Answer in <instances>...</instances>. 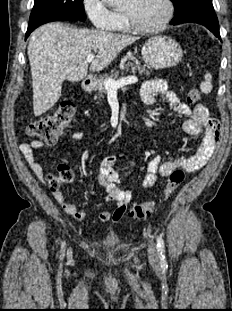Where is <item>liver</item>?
I'll list each match as a JSON object with an SVG mask.
<instances>
[{
	"instance_id": "obj_1",
	"label": "liver",
	"mask_w": 232,
	"mask_h": 311,
	"mask_svg": "<svg viewBox=\"0 0 232 311\" xmlns=\"http://www.w3.org/2000/svg\"><path fill=\"white\" fill-rule=\"evenodd\" d=\"M138 39L61 23H49L37 29L28 44L34 115L39 116L56 104L65 79L78 82L87 76L86 59L90 53L98 51L90 71H100Z\"/></svg>"
}]
</instances>
